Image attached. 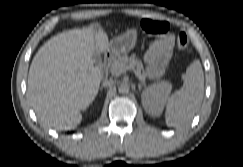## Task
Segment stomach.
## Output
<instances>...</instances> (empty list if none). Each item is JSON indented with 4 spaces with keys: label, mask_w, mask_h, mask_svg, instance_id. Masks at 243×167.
Returning <instances> with one entry per match:
<instances>
[{
    "label": "stomach",
    "mask_w": 243,
    "mask_h": 167,
    "mask_svg": "<svg viewBox=\"0 0 243 167\" xmlns=\"http://www.w3.org/2000/svg\"><path fill=\"white\" fill-rule=\"evenodd\" d=\"M137 40V31L135 28L127 29L125 33L110 41L108 52L111 56H119L131 51Z\"/></svg>",
    "instance_id": "obj_1"
}]
</instances>
